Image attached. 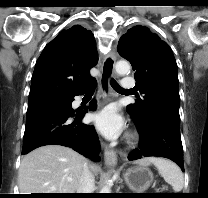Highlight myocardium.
<instances>
[{
  "label": "myocardium",
  "instance_id": "myocardium-1",
  "mask_svg": "<svg viewBox=\"0 0 208 198\" xmlns=\"http://www.w3.org/2000/svg\"><path fill=\"white\" fill-rule=\"evenodd\" d=\"M133 138H134V135H133V134H129V135H128V139H129V140H131V139H133Z\"/></svg>",
  "mask_w": 208,
  "mask_h": 198
}]
</instances>
